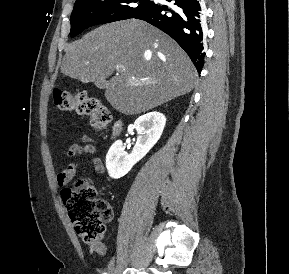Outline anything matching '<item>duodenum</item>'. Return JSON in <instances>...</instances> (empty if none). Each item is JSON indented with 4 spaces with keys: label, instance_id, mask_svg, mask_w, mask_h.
<instances>
[{
    "label": "duodenum",
    "instance_id": "duodenum-1",
    "mask_svg": "<svg viewBox=\"0 0 289 274\" xmlns=\"http://www.w3.org/2000/svg\"><path fill=\"white\" fill-rule=\"evenodd\" d=\"M122 129V122L121 121H116L114 123V126H113V135L116 136L120 133Z\"/></svg>",
    "mask_w": 289,
    "mask_h": 274
}]
</instances>
